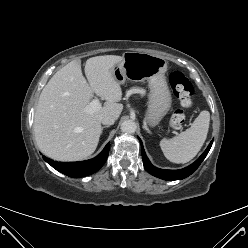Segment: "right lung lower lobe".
<instances>
[{"instance_id": "98d812e1", "label": "right lung lower lobe", "mask_w": 248, "mask_h": 248, "mask_svg": "<svg viewBox=\"0 0 248 248\" xmlns=\"http://www.w3.org/2000/svg\"><path fill=\"white\" fill-rule=\"evenodd\" d=\"M110 143L96 157L81 162H57L43 156L57 171L69 177H84L98 171L105 163L109 153Z\"/></svg>"}]
</instances>
